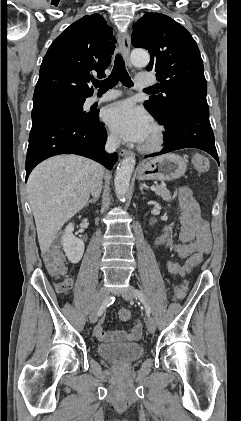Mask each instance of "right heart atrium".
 Listing matches in <instances>:
<instances>
[{
  "instance_id": "obj_1",
  "label": "right heart atrium",
  "mask_w": 241,
  "mask_h": 421,
  "mask_svg": "<svg viewBox=\"0 0 241 421\" xmlns=\"http://www.w3.org/2000/svg\"><path fill=\"white\" fill-rule=\"evenodd\" d=\"M108 140H109V142L111 144H116L117 143V138L113 134H110L109 135Z\"/></svg>"
}]
</instances>
